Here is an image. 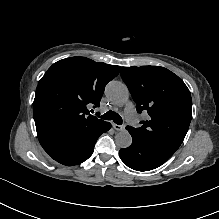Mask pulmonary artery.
Wrapping results in <instances>:
<instances>
[{
	"instance_id": "pulmonary-artery-1",
	"label": "pulmonary artery",
	"mask_w": 219,
	"mask_h": 219,
	"mask_svg": "<svg viewBox=\"0 0 219 219\" xmlns=\"http://www.w3.org/2000/svg\"><path fill=\"white\" fill-rule=\"evenodd\" d=\"M125 117L130 124H137L139 122V115L136 113L130 101H128L125 106Z\"/></svg>"
}]
</instances>
